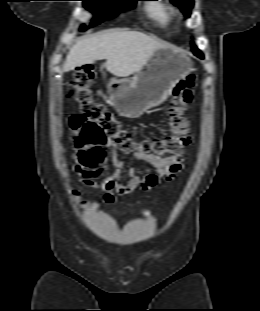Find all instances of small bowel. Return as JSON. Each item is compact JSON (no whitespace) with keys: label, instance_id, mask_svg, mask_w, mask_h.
Masks as SVG:
<instances>
[{"label":"small bowel","instance_id":"1","mask_svg":"<svg viewBox=\"0 0 260 311\" xmlns=\"http://www.w3.org/2000/svg\"><path fill=\"white\" fill-rule=\"evenodd\" d=\"M106 147L110 150L113 169L111 173L100 181L96 178L100 177L105 171V166H101L98 171H86L79 167H74L76 173L82 174L81 183L84 186L90 187L103 193V199L107 203H112L116 197L132 195L137 190L150 191L162 181H170L182 169L184 157L182 155L176 157H159L154 154L144 153L141 151L135 152V158L145 163V171L143 176L138 175L135 167H130L127 171L129 181H122L123 164L118 159V148L113 142H107ZM151 169H155L153 173ZM72 193L77 195V191ZM84 206H89L90 203L83 201Z\"/></svg>","mask_w":260,"mask_h":311}]
</instances>
